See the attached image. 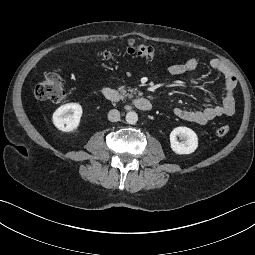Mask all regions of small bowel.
Returning <instances> with one entry per match:
<instances>
[{
    "instance_id": "c3829d8e",
    "label": "small bowel",
    "mask_w": 255,
    "mask_h": 255,
    "mask_svg": "<svg viewBox=\"0 0 255 255\" xmlns=\"http://www.w3.org/2000/svg\"><path fill=\"white\" fill-rule=\"evenodd\" d=\"M209 66L211 69L219 72L224 78V95L222 103L218 105H209L201 110L175 108L174 114L179 119L203 125L214 119L234 114L235 89L237 86L236 76L219 59H212L209 62ZM168 70L171 75L197 73L199 71V62L196 58H189L184 62L171 65ZM205 101L211 103L210 97H205Z\"/></svg>"
}]
</instances>
